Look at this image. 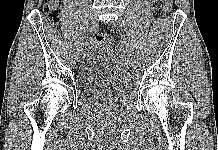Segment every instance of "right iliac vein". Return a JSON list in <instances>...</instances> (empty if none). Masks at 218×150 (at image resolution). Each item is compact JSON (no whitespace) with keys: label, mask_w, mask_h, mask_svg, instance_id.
Masks as SVG:
<instances>
[{"label":"right iliac vein","mask_w":218,"mask_h":150,"mask_svg":"<svg viewBox=\"0 0 218 150\" xmlns=\"http://www.w3.org/2000/svg\"><path fill=\"white\" fill-rule=\"evenodd\" d=\"M98 24L97 18L96 17H91L90 18V23H89V29L91 28L93 31L96 29V26ZM82 44L84 47L88 46V43L86 40L82 41Z\"/></svg>","instance_id":"right-iliac-vein-1"}]
</instances>
